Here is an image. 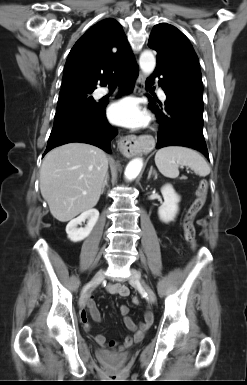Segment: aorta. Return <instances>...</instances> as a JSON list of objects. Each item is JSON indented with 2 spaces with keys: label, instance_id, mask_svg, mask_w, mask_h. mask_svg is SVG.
Here are the masks:
<instances>
[{
  "label": "aorta",
  "instance_id": "762f6f07",
  "mask_svg": "<svg viewBox=\"0 0 247 385\" xmlns=\"http://www.w3.org/2000/svg\"><path fill=\"white\" fill-rule=\"evenodd\" d=\"M139 65L143 73L151 74L156 66V59L153 53L149 50H145L141 53L139 58ZM143 167V160L141 158H135L131 160L125 169V178L127 180L135 179Z\"/></svg>",
  "mask_w": 247,
  "mask_h": 385
}]
</instances>
